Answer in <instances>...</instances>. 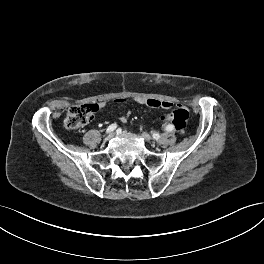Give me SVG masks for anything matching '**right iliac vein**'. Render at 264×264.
Masks as SVG:
<instances>
[{
	"label": "right iliac vein",
	"mask_w": 264,
	"mask_h": 264,
	"mask_svg": "<svg viewBox=\"0 0 264 264\" xmlns=\"http://www.w3.org/2000/svg\"><path fill=\"white\" fill-rule=\"evenodd\" d=\"M113 136H114V133H109V134L106 136L105 140H106V141H109L110 139L113 138Z\"/></svg>",
	"instance_id": "63e3f726"
}]
</instances>
